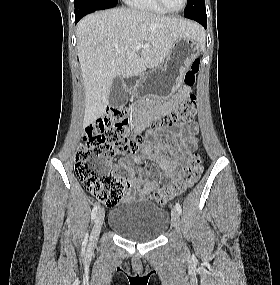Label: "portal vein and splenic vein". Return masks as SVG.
Masks as SVG:
<instances>
[{
    "label": "portal vein and splenic vein",
    "instance_id": "1",
    "mask_svg": "<svg viewBox=\"0 0 280 285\" xmlns=\"http://www.w3.org/2000/svg\"><path fill=\"white\" fill-rule=\"evenodd\" d=\"M141 47H145V45H143L142 43H136L135 45H134V50H139Z\"/></svg>",
    "mask_w": 280,
    "mask_h": 285
}]
</instances>
